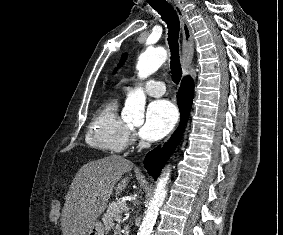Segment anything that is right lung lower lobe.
I'll return each mask as SVG.
<instances>
[{
	"label": "right lung lower lobe",
	"instance_id": "98d812e1",
	"mask_svg": "<svg viewBox=\"0 0 283 235\" xmlns=\"http://www.w3.org/2000/svg\"><path fill=\"white\" fill-rule=\"evenodd\" d=\"M193 93V80L189 76L185 77L182 80L181 87L177 95V102L182 116L181 125L162 149H160V146L157 147L155 150L151 151L145 159V168L148 169V172L154 177V179L157 178L163 165L178 144L181 136L182 126L191 109Z\"/></svg>",
	"mask_w": 283,
	"mask_h": 235
}]
</instances>
